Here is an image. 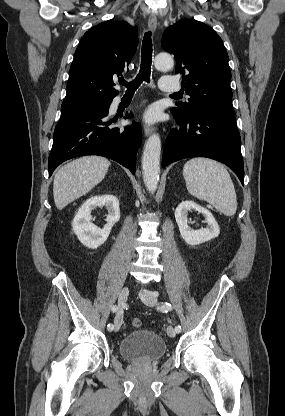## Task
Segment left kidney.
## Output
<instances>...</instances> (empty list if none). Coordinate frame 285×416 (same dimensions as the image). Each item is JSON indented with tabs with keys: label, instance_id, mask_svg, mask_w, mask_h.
Instances as JSON below:
<instances>
[{
	"label": "left kidney",
	"instance_id": "5707ae66",
	"mask_svg": "<svg viewBox=\"0 0 285 416\" xmlns=\"http://www.w3.org/2000/svg\"><path fill=\"white\" fill-rule=\"evenodd\" d=\"M190 210H196L205 216V220L208 224V228H201V230H192L188 226V212ZM175 220L179 226L180 234L189 246H198L203 242H209L213 238H217L220 234V228L211 212L206 208H201L195 202H181L175 210Z\"/></svg>",
	"mask_w": 285,
	"mask_h": 416
}]
</instances>
